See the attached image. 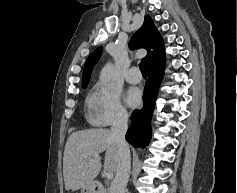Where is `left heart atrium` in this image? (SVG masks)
Returning <instances> with one entry per match:
<instances>
[{
  "label": "left heart atrium",
  "instance_id": "1",
  "mask_svg": "<svg viewBox=\"0 0 237 193\" xmlns=\"http://www.w3.org/2000/svg\"><path fill=\"white\" fill-rule=\"evenodd\" d=\"M126 102L130 107H137L141 103V92L138 89H130L126 95Z\"/></svg>",
  "mask_w": 237,
  "mask_h": 193
}]
</instances>
